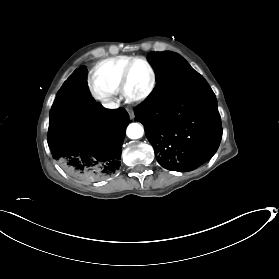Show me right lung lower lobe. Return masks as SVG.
<instances>
[{
	"label": "right lung lower lobe",
	"instance_id": "98d812e1",
	"mask_svg": "<svg viewBox=\"0 0 279 279\" xmlns=\"http://www.w3.org/2000/svg\"><path fill=\"white\" fill-rule=\"evenodd\" d=\"M86 73L85 67L78 68L58 91L50 112L48 145L66 172L95 181L120 167L129 116L124 108L105 113L91 97Z\"/></svg>",
	"mask_w": 279,
	"mask_h": 279
}]
</instances>
